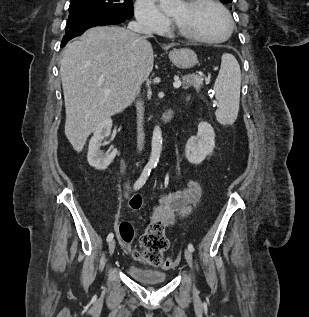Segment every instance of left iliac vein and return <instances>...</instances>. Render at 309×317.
I'll list each match as a JSON object with an SVG mask.
<instances>
[{
    "label": "left iliac vein",
    "instance_id": "left-iliac-vein-1",
    "mask_svg": "<svg viewBox=\"0 0 309 317\" xmlns=\"http://www.w3.org/2000/svg\"><path fill=\"white\" fill-rule=\"evenodd\" d=\"M184 256H185L186 262L192 268V266H193V257H192L191 251L189 249H186L185 252H184Z\"/></svg>",
    "mask_w": 309,
    "mask_h": 317
}]
</instances>
